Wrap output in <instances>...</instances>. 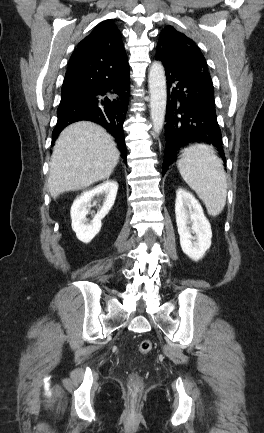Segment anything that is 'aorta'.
I'll list each match as a JSON object with an SVG mask.
<instances>
[{"instance_id":"762f6f07","label":"aorta","mask_w":264,"mask_h":433,"mask_svg":"<svg viewBox=\"0 0 264 433\" xmlns=\"http://www.w3.org/2000/svg\"><path fill=\"white\" fill-rule=\"evenodd\" d=\"M149 93H150V116L153 125V131L159 134L163 128L166 113V77L163 65L155 61L148 75Z\"/></svg>"}]
</instances>
